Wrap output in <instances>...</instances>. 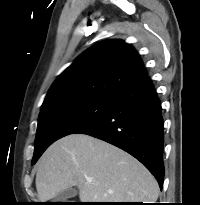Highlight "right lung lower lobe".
I'll use <instances>...</instances> for the list:
<instances>
[{
    "instance_id": "1",
    "label": "right lung lower lobe",
    "mask_w": 200,
    "mask_h": 205,
    "mask_svg": "<svg viewBox=\"0 0 200 205\" xmlns=\"http://www.w3.org/2000/svg\"><path fill=\"white\" fill-rule=\"evenodd\" d=\"M162 108L147 76L118 95L97 119L74 133L93 136L138 159L157 179H164Z\"/></svg>"
}]
</instances>
